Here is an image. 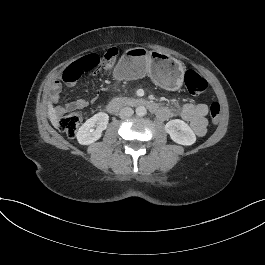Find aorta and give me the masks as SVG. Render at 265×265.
<instances>
[{"instance_id":"1","label":"aorta","mask_w":265,"mask_h":265,"mask_svg":"<svg viewBox=\"0 0 265 265\" xmlns=\"http://www.w3.org/2000/svg\"><path fill=\"white\" fill-rule=\"evenodd\" d=\"M146 113H147V110H146V108H145L144 106H138V107L136 108V115H137V116L142 117V116H144Z\"/></svg>"}]
</instances>
